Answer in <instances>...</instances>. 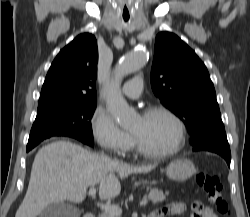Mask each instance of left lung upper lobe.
<instances>
[{
    "mask_svg": "<svg viewBox=\"0 0 250 217\" xmlns=\"http://www.w3.org/2000/svg\"><path fill=\"white\" fill-rule=\"evenodd\" d=\"M151 86L161 103L185 123L191 144L224 126L206 66L173 33L160 32L156 37Z\"/></svg>",
    "mask_w": 250,
    "mask_h": 217,
    "instance_id": "obj_1",
    "label": "left lung upper lobe"
}]
</instances>
